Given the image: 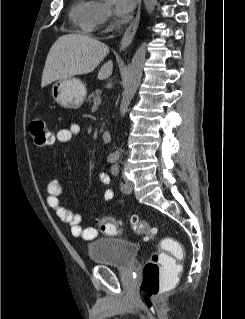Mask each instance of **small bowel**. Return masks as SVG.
Listing matches in <instances>:
<instances>
[{"label":"small bowel","instance_id":"obj_1","mask_svg":"<svg viewBox=\"0 0 245 319\" xmlns=\"http://www.w3.org/2000/svg\"><path fill=\"white\" fill-rule=\"evenodd\" d=\"M81 127L78 124H72L68 128L60 129L56 134V139L60 143H68L73 137L80 135ZM99 181L105 188L102 194V200L104 202H110L114 199V191L109 188L110 179L109 176L101 172L99 173ZM63 184L57 180L52 179L47 186V204L56 212L59 219L68 224L71 228V232L74 236L82 237L85 240H92L97 237L98 231L95 227L81 226V215L74 213L71 209L64 206L60 197L63 194Z\"/></svg>","mask_w":245,"mask_h":319}]
</instances>
